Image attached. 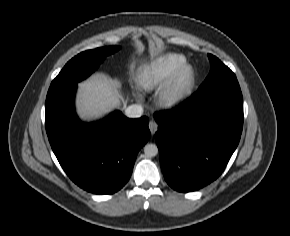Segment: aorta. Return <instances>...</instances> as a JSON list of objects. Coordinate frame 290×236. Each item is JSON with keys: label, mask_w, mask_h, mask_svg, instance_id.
<instances>
[{"label": "aorta", "mask_w": 290, "mask_h": 236, "mask_svg": "<svg viewBox=\"0 0 290 236\" xmlns=\"http://www.w3.org/2000/svg\"><path fill=\"white\" fill-rule=\"evenodd\" d=\"M144 153L147 157H154L158 154V147L155 144H146L144 146Z\"/></svg>", "instance_id": "762f6f07"}]
</instances>
